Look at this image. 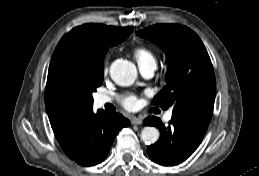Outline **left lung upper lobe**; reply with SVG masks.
<instances>
[{"mask_svg": "<svg viewBox=\"0 0 259 176\" xmlns=\"http://www.w3.org/2000/svg\"><path fill=\"white\" fill-rule=\"evenodd\" d=\"M158 44L165 52L169 69L166 86L153 99L155 105L173 108V115L209 124L216 81L208 52L199 36L177 24H158L137 32Z\"/></svg>", "mask_w": 259, "mask_h": 176, "instance_id": "obj_1", "label": "left lung upper lobe"}]
</instances>
